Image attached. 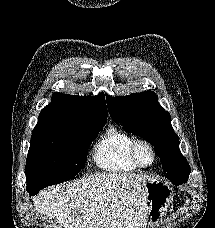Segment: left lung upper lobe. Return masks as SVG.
<instances>
[{
  "label": "left lung upper lobe",
  "mask_w": 215,
  "mask_h": 228,
  "mask_svg": "<svg viewBox=\"0 0 215 228\" xmlns=\"http://www.w3.org/2000/svg\"><path fill=\"white\" fill-rule=\"evenodd\" d=\"M106 98L112 119L122 123L126 132L142 137L155 147L166 177L172 182L186 181L190 167L180 153L170 114L159 105L156 94L145 91L123 97L106 95Z\"/></svg>",
  "instance_id": "1"
}]
</instances>
